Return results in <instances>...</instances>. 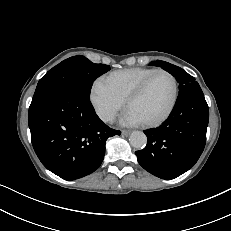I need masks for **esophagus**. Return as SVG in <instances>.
I'll return each mask as SVG.
<instances>
[{
  "mask_svg": "<svg viewBox=\"0 0 231 231\" xmlns=\"http://www.w3.org/2000/svg\"><path fill=\"white\" fill-rule=\"evenodd\" d=\"M129 134H130L129 130H123L122 131V135H124V136H128Z\"/></svg>",
  "mask_w": 231,
  "mask_h": 231,
  "instance_id": "34e87169",
  "label": "esophagus"
}]
</instances>
